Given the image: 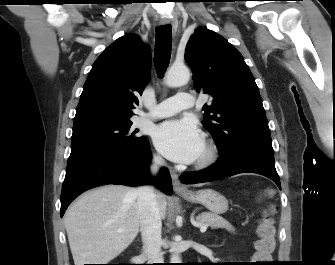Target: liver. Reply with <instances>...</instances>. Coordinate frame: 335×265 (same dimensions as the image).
<instances>
[{
    "label": "liver",
    "instance_id": "1",
    "mask_svg": "<svg viewBox=\"0 0 335 265\" xmlns=\"http://www.w3.org/2000/svg\"><path fill=\"white\" fill-rule=\"evenodd\" d=\"M161 218L164 194H156ZM64 225L75 265L107 264L135 239L140 227L137 189L106 185L83 194L66 211Z\"/></svg>",
    "mask_w": 335,
    "mask_h": 265
}]
</instances>
